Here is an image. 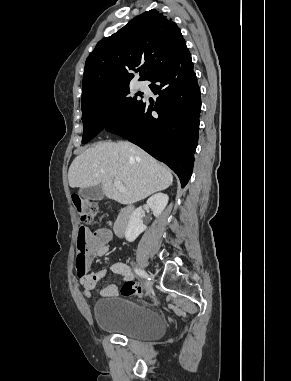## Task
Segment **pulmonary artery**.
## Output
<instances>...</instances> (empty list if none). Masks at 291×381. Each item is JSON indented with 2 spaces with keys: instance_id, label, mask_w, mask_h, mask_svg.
<instances>
[{
  "instance_id": "e3ab8cb5",
  "label": "pulmonary artery",
  "mask_w": 291,
  "mask_h": 381,
  "mask_svg": "<svg viewBox=\"0 0 291 381\" xmlns=\"http://www.w3.org/2000/svg\"><path fill=\"white\" fill-rule=\"evenodd\" d=\"M138 87H139L140 89H144V88H145V84H144L143 82H139V83H138Z\"/></svg>"
}]
</instances>
